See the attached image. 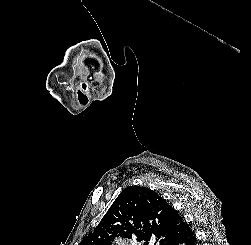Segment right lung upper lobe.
I'll return each instance as SVG.
<instances>
[{"mask_svg":"<svg viewBox=\"0 0 251 245\" xmlns=\"http://www.w3.org/2000/svg\"><path fill=\"white\" fill-rule=\"evenodd\" d=\"M187 229L189 225L160 195L146 187L129 186L79 245H112L118 236L144 240V245L155 238L165 245Z\"/></svg>","mask_w":251,"mask_h":245,"instance_id":"right-lung-upper-lobe-1","label":"right lung upper lobe"}]
</instances>
